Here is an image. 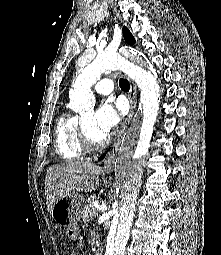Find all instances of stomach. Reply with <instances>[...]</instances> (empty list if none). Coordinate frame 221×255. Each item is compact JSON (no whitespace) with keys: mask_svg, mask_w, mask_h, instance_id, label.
<instances>
[{"mask_svg":"<svg viewBox=\"0 0 221 255\" xmlns=\"http://www.w3.org/2000/svg\"><path fill=\"white\" fill-rule=\"evenodd\" d=\"M85 200L80 194L71 193L60 198L52 207L54 221L62 227L75 226L82 217Z\"/></svg>","mask_w":221,"mask_h":255,"instance_id":"0dacf381","label":"stomach"}]
</instances>
